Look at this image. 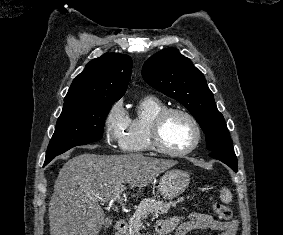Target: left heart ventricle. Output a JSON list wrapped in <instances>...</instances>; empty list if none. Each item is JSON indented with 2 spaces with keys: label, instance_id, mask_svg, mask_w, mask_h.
<instances>
[{
  "label": "left heart ventricle",
  "instance_id": "1",
  "mask_svg": "<svg viewBox=\"0 0 283 235\" xmlns=\"http://www.w3.org/2000/svg\"><path fill=\"white\" fill-rule=\"evenodd\" d=\"M194 136L191 122L178 113L171 114L164 121L160 132L162 144L173 151L187 148L194 140Z\"/></svg>",
  "mask_w": 283,
  "mask_h": 235
}]
</instances>
